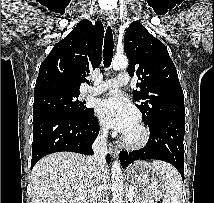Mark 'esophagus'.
<instances>
[{
    "mask_svg": "<svg viewBox=\"0 0 214 203\" xmlns=\"http://www.w3.org/2000/svg\"><path fill=\"white\" fill-rule=\"evenodd\" d=\"M107 21H108V24L112 27V28H115V25H116V18L114 16L113 13H108L107 14ZM109 151H110V154L116 158L118 155H119V149L114 146L113 144H110L109 145Z\"/></svg>",
    "mask_w": 214,
    "mask_h": 203,
    "instance_id": "1",
    "label": "esophagus"
}]
</instances>
